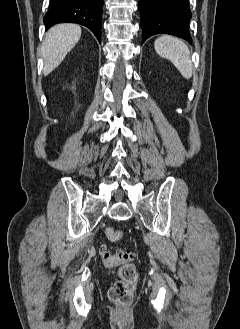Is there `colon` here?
Here are the masks:
<instances>
[{
  "label": "colon",
  "instance_id": "obj_1",
  "mask_svg": "<svg viewBox=\"0 0 240 329\" xmlns=\"http://www.w3.org/2000/svg\"><path fill=\"white\" fill-rule=\"evenodd\" d=\"M105 234L111 241H118L123 236L122 231L110 227L105 230ZM100 254L107 267L118 268L119 280L109 289L110 300L121 306H129L133 301L138 277L135 267L126 263L132 258V252L128 250L112 252L107 247H102Z\"/></svg>",
  "mask_w": 240,
  "mask_h": 329
}]
</instances>
